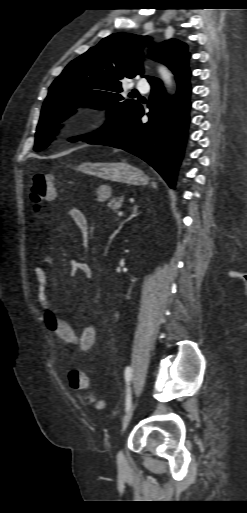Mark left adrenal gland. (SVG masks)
<instances>
[{
    "instance_id": "obj_1",
    "label": "left adrenal gland",
    "mask_w": 247,
    "mask_h": 513,
    "mask_svg": "<svg viewBox=\"0 0 247 513\" xmlns=\"http://www.w3.org/2000/svg\"><path fill=\"white\" fill-rule=\"evenodd\" d=\"M138 207H139L138 205H134V206L132 207V213H131L130 217H129V218H127L126 220H123L122 222H120L119 227L117 228V230H115V232L113 233V235H112L111 239H113V238H114V237L119 233V231L121 230V228L123 227V225H124L126 222H128V221H129V220H131L132 218H134V217H136V216H138V215H139V213H138Z\"/></svg>"
}]
</instances>
